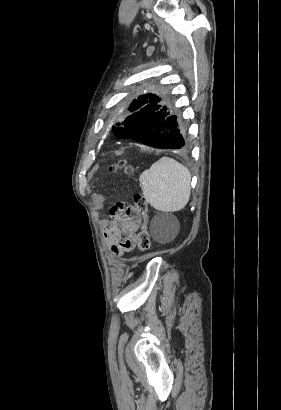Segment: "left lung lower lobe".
<instances>
[{"label": "left lung lower lobe", "instance_id": "1", "mask_svg": "<svg viewBox=\"0 0 281 410\" xmlns=\"http://www.w3.org/2000/svg\"><path fill=\"white\" fill-rule=\"evenodd\" d=\"M163 99L153 94L148 103L118 124L122 135L119 138L132 139L145 145L173 150H187L189 142L185 131L177 123V116L160 104Z\"/></svg>", "mask_w": 281, "mask_h": 410}]
</instances>
